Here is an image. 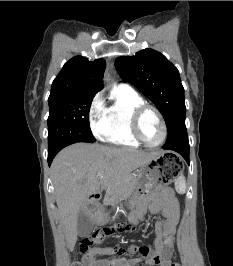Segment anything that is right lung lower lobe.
<instances>
[{"label":"right lung lower lobe","mask_w":233,"mask_h":266,"mask_svg":"<svg viewBox=\"0 0 233 266\" xmlns=\"http://www.w3.org/2000/svg\"><path fill=\"white\" fill-rule=\"evenodd\" d=\"M61 149H58V150H55V151H52V152H48V164L50 166L53 158L55 157V155L60 151Z\"/></svg>","instance_id":"98d812e1"}]
</instances>
